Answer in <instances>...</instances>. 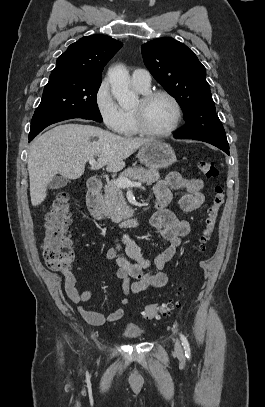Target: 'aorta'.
Listing matches in <instances>:
<instances>
[{"mask_svg":"<svg viewBox=\"0 0 265 407\" xmlns=\"http://www.w3.org/2000/svg\"><path fill=\"white\" fill-rule=\"evenodd\" d=\"M111 92L121 107L133 106L138 97L129 88V73L124 65L118 64L108 71Z\"/></svg>","mask_w":265,"mask_h":407,"instance_id":"aorta-1","label":"aorta"}]
</instances>
